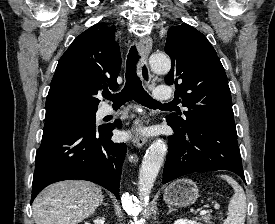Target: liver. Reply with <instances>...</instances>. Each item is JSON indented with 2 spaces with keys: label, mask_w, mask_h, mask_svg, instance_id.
Returning <instances> with one entry per match:
<instances>
[{
  "label": "liver",
  "mask_w": 275,
  "mask_h": 224,
  "mask_svg": "<svg viewBox=\"0 0 275 224\" xmlns=\"http://www.w3.org/2000/svg\"><path fill=\"white\" fill-rule=\"evenodd\" d=\"M103 201L97 185L67 180L48 186L32 205L35 224H78L94 213Z\"/></svg>",
  "instance_id": "6515ba94"
}]
</instances>
